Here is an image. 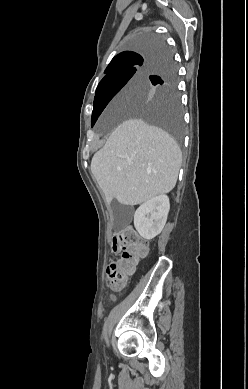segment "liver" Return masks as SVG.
Returning <instances> with one entry per match:
<instances>
[{"mask_svg":"<svg viewBox=\"0 0 248 389\" xmlns=\"http://www.w3.org/2000/svg\"><path fill=\"white\" fill-rule=\"evenodd\" d=\"M134 89L128 85L115 103L130 105ZM182 154L174 138L141 119L121 123L91 161V171L106 202L138 205L169 193L176 185Z\"/></svg>","mask_w":248,"mask_h":389,"instance_id":"liver-1","label":"liver"}]
</instances>
